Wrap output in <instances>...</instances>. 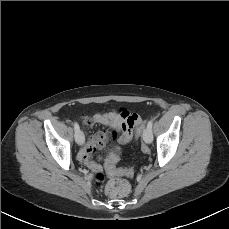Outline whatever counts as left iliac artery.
I'll return each mask as SVG.
<instances>
[{
    "label": "left iliac artery",
    "instance_id": "1",
    "mask_svg": "<svg viewBox=\"0 0 229 229\" xmlns=\"http://www.w3.org/2000/svg\"><path fill=\"white\" fill-rule=\"evenodd\" d=\"M152 125H153V120H150V121L148 122L147 127H148L149 129H152Z\"/></svg>",
    "mask_w": 229,
    "mask_h": 229
}]
</instances>
